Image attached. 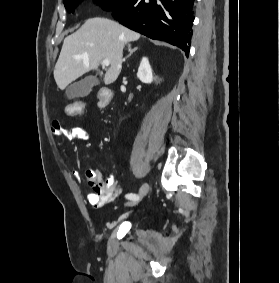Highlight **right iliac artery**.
<instances>
[{"label": "right iliac artery", "instance_id": "82829eb1", "mask_svg": "<svg viewBox=\"0 0 280 283\" xmlns=\"http://www.w3.org/2000/svg\"><path fill=\"white\" fill-rule=\"evenodd\" d=\"M126 198L129 199V200H138L139 199V197L134 193L126 194Z\"/></svg>", "mask_w": 280, "mask_h": 283}]
</instances>
